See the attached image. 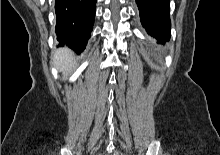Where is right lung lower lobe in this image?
I'll use <instances>...</instances> for the list:
<instances>
[{"label": "right lung lower lobe", "mask_w": 220, "mask_h": 155, "mask_svg": "<svg viewBox=\"0 0 220 155\" xmlns=\"http://www.w3.org/2000/svg\"><path fill=\"white\" fill-rule=\"evenodd\" d=\"M96 0H55L56 34L79 54L84 51L93 29Z\"/></svg>", "instance_id": "98d812e1"}]
</instances>
